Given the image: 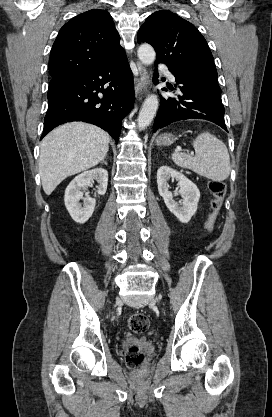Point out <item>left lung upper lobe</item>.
I'll return each mask as SVG.
<instances>
[{"label": "left lung upper lobe", "instance_id": "obj_1", "mask_svg": "<svg viewBox=\"0 0 272 417\" xmlns=\"http://www.w3.org/2000/svg\"><path fill=\"white\" fill-rule=\"evenodd\" d=\"M137 41L155 48L156 63L221 91L210 48L190 22L168 10L157 11L141 26Z\"/></svg>", "mask_w": 272, "mask_h": 417}]
</instances>
